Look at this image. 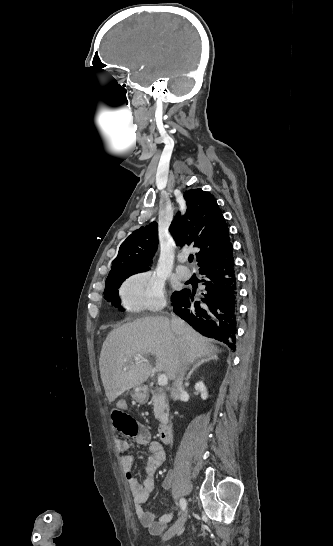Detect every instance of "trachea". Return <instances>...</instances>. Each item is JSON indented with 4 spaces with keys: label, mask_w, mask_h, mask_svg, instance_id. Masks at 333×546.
<instances>
[{
    "label": "trachea",
    "mask_w": 333,
    "mask_h": 546,
    "mask_svg": "<svg viewBox=\"0 0 333 546\" xmlns=\"http://www.w3.org/2000/svg\"><path fill=\"white\" fill-rule=\"evenodd\" d=\"M188 260H189V262H192L193 261V255H190Z\"/></svg>",
    "instance_id": "3493384b"
}]
</instances>
